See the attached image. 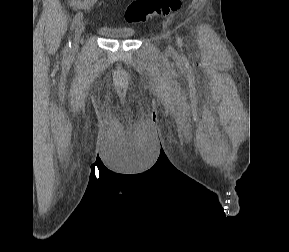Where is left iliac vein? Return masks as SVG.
Instances as JSON below:
<instances>
[{"instance_id": "left-iliac-vein-1", "label": "left iliac vein", "mask_w": 289, "mask_h": 252, "mask_svg": "<svg viewBox=\"0 0 289 252\" xmlns=\"http://www.w3.org/2000/svg\"><path fill=\"white\" fill-rule=\"evenodd\" d=\"M169 49H170V50H172V47H171V46H169Z\"/></svg>"}]
</instances>
